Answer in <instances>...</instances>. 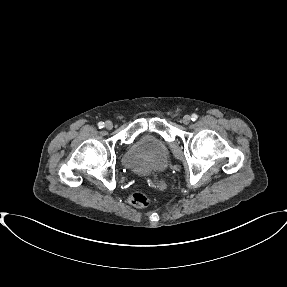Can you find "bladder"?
<instances>
[{
    "instance_id": "1",
    "label": "bladder",
    "mask_w": 287,
    "mask_h": 287,
    "mask_svg": "<svg viewBox=\"0 0 287 287\" xmlns=\"http://www.w3.org/2000/svg\"><path fill=\"white\" fill-rule=\"evenodd\" d=\"M168 160L165 143L157 136L147 134L140 137L127 152L124 164L132 171L144 174L161 171Z\"/></svg>"
}]
</instances>
